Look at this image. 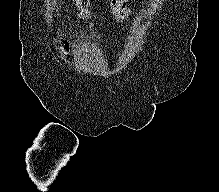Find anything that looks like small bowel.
<instances>
[{
  "mask_svg": "<svg viewBox=\"0 0 219 192\" xmlns=\"http://www.w3.org/2000/svg\"><path fill=\"white\" fill-rule=\"evenodd\" d=\"M128 2L129 0H110V9L117 20L124 21L129 18L130 13L127 8ZM79 8L81 9L80 15L82 17H86L88 15V12L84 8Z\"/></svg>",
  "mask_w": 219,
  "mask_h": 192,
  "instance_id": "c3829d8e",
  "label": "small bowel"
}]
</instances>
